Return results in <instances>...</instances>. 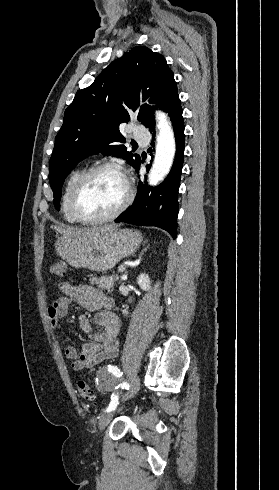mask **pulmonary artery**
Segmentation results:
<instances>
[{
  "label": "pulmonary artery",
  "mask_w": 279,
  "mask_h": 490,
  "mask_svg": "<svg viewBox=\"0 0 279 490\" xmlns=\"http://www.w3.org/2000/svg\"><path fill=\"white\" fill-rule=\"evenodd\" d=\"M127 127L130 132L135 131L131 124L127 125ZM149 135H150L149 128H138V130L135 133V138L136 140H145V138L149 137Z\"/></svg>",
  "instance_id": "obj_1"
}]
</instances>
